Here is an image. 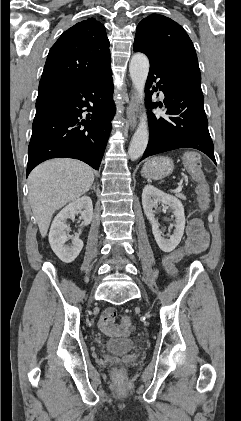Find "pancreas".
<instances>
[{"mask_svg":"<svg viewBox=\"0 0 241 421\" xmlns=\"http://www.w3.org/2000/svg\"><path fill=\"white\" fill-rule=\"evenodd\" d=\"M176 196L182 200H186V197L184 196V194L181 193H176Z\"/></svg>","mask_w":241,"mask_h":421,"instance_id":"pancreas-1","label":"pancreas"}]
</instances>
